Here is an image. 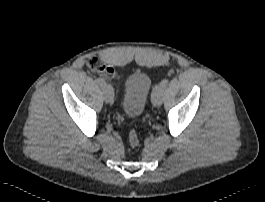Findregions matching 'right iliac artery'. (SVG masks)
Returning <instances> with one entry per match:
<instances>
[{
    "label": "right iliac artery",
    "instance_id": "obj_1",
    "mask_svg": "<svg viewBox=\"0 0 265 202\" xmlns=\"http://www.w3.org/2000/svg\"><path fill=\"white\" fill-rule=\"evenodd\" d=\"M96 81L101 87H103L106 84V82L102 78H97Z\"/></svg>",
    "mask_w": 265,
    "mask_h": 202
}]
</instances>
